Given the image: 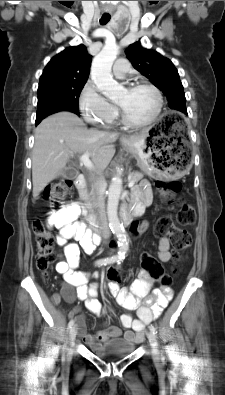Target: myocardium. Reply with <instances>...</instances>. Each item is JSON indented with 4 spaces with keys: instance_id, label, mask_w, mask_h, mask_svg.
<instances>
[{
    "instance_id": "f54148a6",
    "label": "myocardium",
    "mask_w": 225,
    "mask_h": 395,
    "mask_svg": "<svg viewBox=\"0 0 225 395\" xmlns=\"http://www.w3.org/2000/svg\"><path fill=\"white\" fill-rule=\"evenodd\" d=\"M138 88H146V89H149L153 92V94L156 98V107H155V110H154L153 114L151 115V117L145 121H142V122L131 121L130 119L127 118L124 111L120 108V117H121L122 123L124 125H126L128 127H132V128H142V127H146V126L153 124L159 117V115L162 111V107H163V98H162L161 92L155 85L145 82V81H139V82L132 83L128 87V90H135Z\"/></svg>"
}]
</instances>
